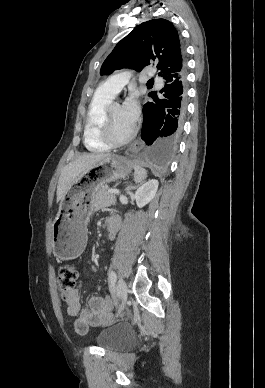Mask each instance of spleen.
Wrapping results in <instances>:
<instances>
[{"label": "spleen", "mask_w": 265, "mask_h": 388, "mask_svg": "<svg viewBox=\"0 0 265 388\" xmlns=\"http://www.w3.org/2000/svg\"><path fill=\"white\" fill-rule=\"evenodd\" d=\"M134 180L136 184H142L143 180H146L147 178V170H144V168H140V166H136L134 164Z\"/></svg>", "instance_id": "obj_1"}]
</instances>
